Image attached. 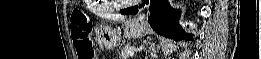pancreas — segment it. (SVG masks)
<instances>
[{"label":"pancreas","mask_w":261,"mask_h":59,"mask_svg":"<svg viewBox=\"0 0 261 59\" xmlns=\"http://www.w3.org/2000/svg\"><path fill=\"white\" fill-rule=\"evenodd\" d=\"M133 50V46L130 44H126L125 47L122 49L119 58L120 59H129V51Z\"/></svg>","instance_id":"pancreas-1"}]
</instances>
